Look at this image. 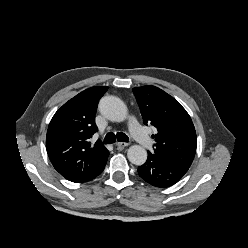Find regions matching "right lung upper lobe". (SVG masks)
Listing matches in <instances>:
<instances>
[{
	"label": "right lung upper lobe",
	"mask_w": 248,
	"mask_h": 248,
	"mask_svg": "<svg viewBox=\"0 0 248 248\" xmlns=\"http://www.w3.org/2000/svg\"><path fill=\"white\" fill-rule=\"evenodd\" d=\"M106 86L88 88L66 102L50 121L46 136L49 159L64 178L81 183L107 159L108 150L89 139L97 131L95 114Z\"/></svg>",
	"instance_id": "right-lung-upper-lobe-1"
}]
</instances>
